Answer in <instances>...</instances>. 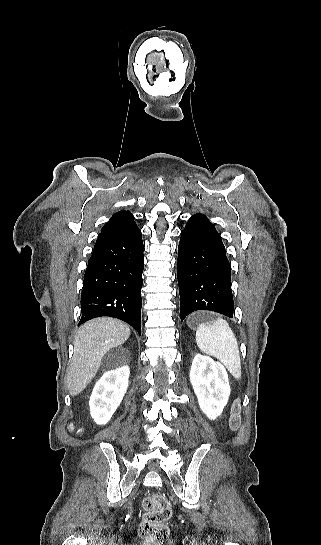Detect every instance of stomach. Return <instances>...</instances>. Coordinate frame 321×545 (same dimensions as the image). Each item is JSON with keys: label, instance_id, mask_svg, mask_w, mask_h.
I'll list each match as a JSON object with an SVG mask.
<instances>
[{"label": "stomach", "instance_id": "1", "mask_svg": "<svg viewBox=\"0 0 321 545\" xmlns=\"http://www.w3.org/2000/svg\"><path fill=\"white\" fill-rule=\"evenodd\" d=\"M202 315H205V313H193V315H190L187 319L188 327H190V329H196L201 321Z\"/></svg>", "mask_w": 321, "mask_h": 545}]
</instances>
